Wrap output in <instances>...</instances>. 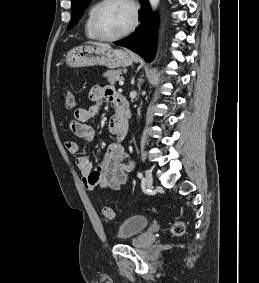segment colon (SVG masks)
Returning <instances> with one entry per match:
<instances>
[{
    "instance_id": "1",
    "label": "colon",
    "mask_w": 259,
    "mask_h": 283,
    "mask_svg": "<svg viewBox=\"0 0 259 283\" xmlns=\"http://www.w3.org/2000/svg\"><path fill=\"white\" fill-rule=\"evenodd\" d=\"M65 105L68 109H73L76 105V97L73 91L68 90L64 97ZM103 215L105 218L112 220L114 219L115 215L113 210L110 207L103 208ZM185 230V224L182 221H176L173 223L171 227V232L174 235H181Z\"/></svg>"
}]
</instances>
